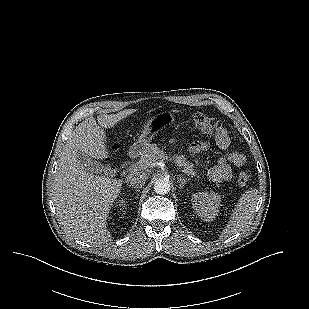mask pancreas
Here are the masks:
<instances>
[{
  "label": "pancreas",
  "instance_id": "obj_1",
  "mask_svg": "<svg viewBox=\"0 0 309 309\" xmlns=\"http://www.w3.org/2000/svg\"><path fill=\"white\" fill-rule=\"evenodd\" d=\"M165 158H168V156L156 144H148L141 151L140 161L148 165L157 159H165ZM172 158L177 166L183 168V172L185 174L196 176V172H194L193 169L194 165L189 161H187L184 155H174Z\"/></svg>",
  "mask_w": 309,
  "mask_h": 309
}]
</instances>
